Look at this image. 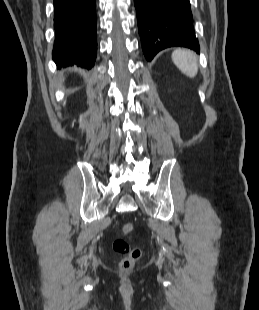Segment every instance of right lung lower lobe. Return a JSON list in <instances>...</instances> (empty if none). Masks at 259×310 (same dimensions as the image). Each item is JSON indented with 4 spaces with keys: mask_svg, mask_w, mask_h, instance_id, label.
Wrapping results in <instances>:
<instances>
[{
    "mask_svg": "<svg viewBox=\"0 0 259 310\" xmlns=\"http://www.w3.org/2000/svg\"><path fill=\"white\" fill-rule=\"evenodd\" d=\"M95 0H54L55 40L52 57L58 67L91 68L97 56Z\"/></svg>",
    "mask_w": 259,
    "mask_h": 310,
    "instance_id": "1",
    "label": "right lung lower lobe"
}]
</instances>
